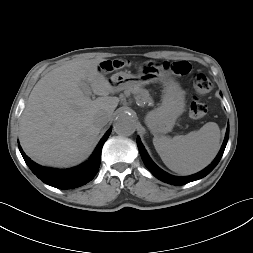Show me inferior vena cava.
Instances as JSON below:
<instances>
[{
	"mask_svg": "<svg viewBox=\"0 0 253 253\" xmlns=\"http://www.w3.org/2000/svg\"><path fill=\"white\" fill-rule=\"evenodd\" d=\"M109 121V116L105 113L99 114L95 118L96 125L103 127L105 126Z\"/></svg>",
	"mask_w": 253,
	"mask_h": 253,
	"instance_id": "602c4592",
	"label": "inferior vena cava"
}]
</instances>
